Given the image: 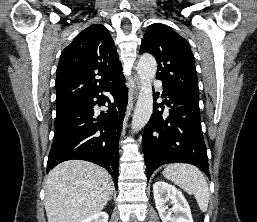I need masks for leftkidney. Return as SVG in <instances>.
Returning a JSON list of instances; mask_svg holds the SVG:
<instances>
[{
    "label": "left kidney",
    "mask_w": 257,
    "mask_h": 222,
    "mask_svg": "<svg viewBox=\"0 0 257 222\" xmlns=\"http://www.w3.org/2000/svg\"><path fill=\"white\" fill-rule=\"evenodd\" d=\"M153 193L162 222H193L189 204L176 187L157 181L153 184Z\"/></svg>",
    "instance_id": "obj_1"
}]
</instances>
